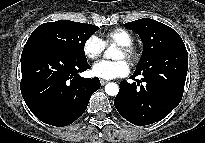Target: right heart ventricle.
Masks as SVG:
<instances>
[{
  "instance_id": "1",
  "label": "right heart ventricle",
  "mask_w": 205,
  "mask_h": 143,
  "mask_svg": "<svg viewBox=\"0 0 205 143\" xmlns=\"http://www.w3.org/2000/svg\"><path fill=\"white\" fill-rule=\"evenodd\" d=\"M104 46L133 44V36L123 28H116L102 34Z\"/></svg>"
}]
</instances>
